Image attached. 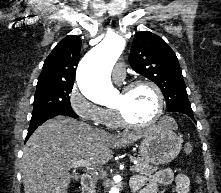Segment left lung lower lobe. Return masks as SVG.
Segmentation results:
<instances>
[{"instance_id": "1", "label": "left lung lower lobe", "mask_w": 221, "mask_h": 193, "mask_svg": "<svg viewBox=\"0 0 221 193\" xmlns=\"http://www.w3.org/2000/svg\"><path fill=\"white\" fill-rule=\"evenodd\" d=\"M174 112H180V113L186 114L195 121L192 110L180 109Z\"/></svg>"}]
</instances>
